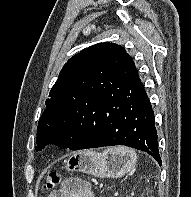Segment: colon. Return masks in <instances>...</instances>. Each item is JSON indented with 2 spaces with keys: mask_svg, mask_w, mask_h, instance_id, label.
Here are the masks:
<instances>
[{
  "mask_svg": "<svg viewBox=\"0 0 191 197\" xmlns=\"http://www.w3.org/2000/svg\"><path fill=\"white\" fill-rule=\"evenodd\" d=\"M60 176L57 172H52L49 174V176L46 178L43 188L45 190H53L55 186L59 183Z\"/></svg>",
  "mask_w": 191,
  "mask_h": 197,
  "instance_id": "obj_1",
  "label": "colon"
}]
</instances>
